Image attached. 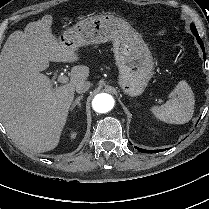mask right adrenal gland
<instances>
[{
    "label": "right adrenal gland",
    "instance_id": "2a0ac1e0",
    "mask_svg": "<svg viewBox=\"0 0 209 209\" xmlns=\"http://www.w3.org/2000/svg\"><path fill=\"white\" fill-rule=\"evenodd\" d=\"M83 99V95L78 96L75 101L72 103L71 107H70V111H73V109L78 106V108L81 107V103L80 101Z\"/></svg>",
    "mask_w": 209,
    "mask_h": 209
}]
</instances>
